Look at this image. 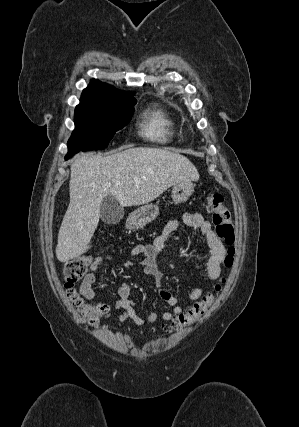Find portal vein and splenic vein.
I'll return each mask as SVG.
<instances>
[{
	"label": "portal vein and splenic vein",
	"instance_id": "portal-vein-and-splenic-vein-1",
	"mask_svg": "<svg viewBox=\"0 0 299 427\" xmlns=\"http://www.w3.org/2000/svg\"><path fill=\"white\" fill-rule=\"evenodd\" d=\"M134 180H137V178H135ZM106 186H110V183H107Z\"/></svg>",
	"mask_w": 299,
	"mask_h": 427
}]
</instances>
